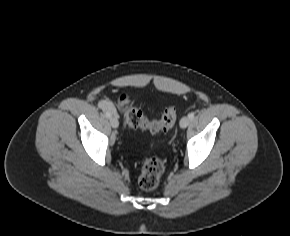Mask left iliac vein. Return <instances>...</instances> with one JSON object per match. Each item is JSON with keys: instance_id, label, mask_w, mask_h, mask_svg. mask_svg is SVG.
I'll return each instance as SVG.
<instances>
[{"instance_id": "obj_1", "label": "left iliac vein", "mask_w": 290, "mask_h": 236, "mask_svg": "<svg viewBox=\"0 0 290 236\" xmlns=\"http://www.w3.org/2000/svg\"><path fill=\"white\" fill-rule=\"evenodd\" d=\"M190 123V119L187 116H184L181 120H180V127L182 129L186 128Z\"/></svg>"}]
</instances>
